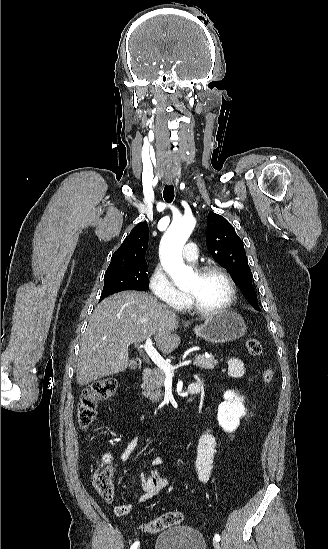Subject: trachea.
<instances>
[{
  "instance_id": "1",
  "label": "trachea",
  "mask_w": 328,
  "mask_h": 549,
  "mask_svg": "<svg viewBox=\"0 0 328 549\" xmlns=\"http://www.w3.org/2000/svg\"><path fill=\"white\" fill-rule=\"evenodd\" d=\"M163 197L165 199V202L171 203L174 199V187L173 185H165L164 191H163Z\"/></svg>"
}]
</instances>
